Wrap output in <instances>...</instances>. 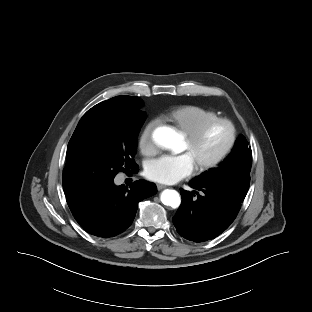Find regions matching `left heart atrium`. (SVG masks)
Here are the masks:
<instances>
[{"label": "left heart atrium", "instance_id": "obj_1", "mask_svg": "<svg viewBox=\"0 0 312 312\" xmlns=\"http://www.w3.org/2000/svg\"><path fill=\"white\" fill-rule=\"evenodd\" d=\"M193 170L194 165L187 154L164 155L147 165L145 176L154 182L173 184L189 176Z\"/></svg>", "mask_w": 312, "mask_h": 312}]
</instances>
